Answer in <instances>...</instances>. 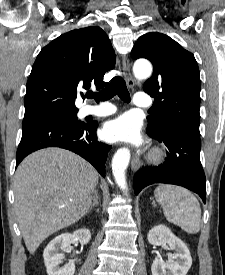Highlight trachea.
Instances as JSON below:
<instances>
[{"label": "trachea", "mask_w": 225, "mask_h": 275, "mask_svg": "<svg viewBox=\"0 0 225 275\" xmlns=\"http://www.w3.org/2000/svg\"><path fill=\"white\" fill-rule=\"evenodd\" d=\"M118 95L125 102H130V94L126 87L125 80L121 76H115L111 83L98 93H90L88 98H95L96 102L106 101Z\"/></svg>", "instance_id": "trachea-1"}]
</instances>
